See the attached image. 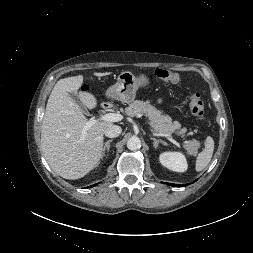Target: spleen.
<instances>
[{"label":"spleen","instance_id":"spleen-1","mask_svg":"<svg viewBox=\"0 0 253 253\" xmlns=\"http://www.w3.org/2000/svg\"><path fill=\"white\" fill-rule=\"evenodd\" d=\"M214 150V140L211 137H207L205 140V148L198 154L196 160V171H202L210 162Z\"/></svg>","mask_w":253,"mask_h":253}]
</instances>
